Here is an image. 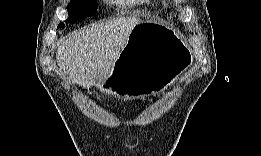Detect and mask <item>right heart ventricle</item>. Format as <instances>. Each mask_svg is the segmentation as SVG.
Returning a JSON list of instances; mask_svg holds the SVG:
<instances>
[{"label":"right heart ventricle","instance_id":"e07e8e85","mask_svg":"<svg viewBox=\"0 0 261 156\" xmlns=\"http://www.w3.org/2000/svg\"><path fill=\"white\" fill-rule=\"evenodd\" d=\"M116 3L121 4V5H125V4H127L128 2H127V1H117Z\"/></svg>","mask_w":261,"mask_h":156}]
</instances>
